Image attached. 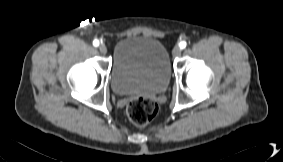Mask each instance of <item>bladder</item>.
<instances>
[{
    "label": "bladder",
    "instance_id": "1",
    "mask_svg": "<svg viewBox=\"0 0 283 162\" xmlns=\"http://www.w3.org/2000/svg\"><path fill=\"white\" fill-rule=\"evenodd\" d=\"M171 62L166 47L150 36H128L113 49L111 86L117 95L163 92L170 81Z\"/></svg>",
    "mask_w": 283,
    "mask_h": 162
}]
</instances>
